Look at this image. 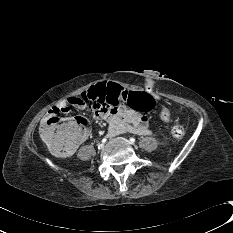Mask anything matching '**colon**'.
<instances>
[{"label":"colon","mask_w":233,"mask_h":233,"mask_svg":"<svg viewBox=\"0 0 233 233\" xmlns=\"http://www.w3.org/2000/svg\"><path fill=\"white\" fill-rule=\"evenodd\" d=\"M81 99L90 106L104 103L129 107L141 113H149L155 107L154 98L148 93L128 90L124 84H116L113 81L97 82L91 89L81 95ZM68 108L57 109L46 116L41 124L40 133L44 141L58 157H69L75 146L87 135L89 127L85 119L75 118L64 122L59 117ZM172 111L168 107L162 108L160 117L162 120L170 119ZM170 135L175 139L185 136V129L181 125H173Z\"/></svg>","instance_id":"obj_1"}]
</instances>
